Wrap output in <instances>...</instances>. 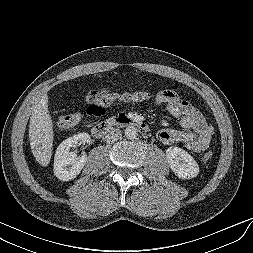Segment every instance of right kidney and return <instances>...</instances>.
Segmentation results:
<instances>
[{
  "label": "right kidney",
  "mask_w": 253,
  "mask_h": 253,
  "mask_svg": "<svg viewBox=\"0 0 253 253\" xmlns=\"http://www.w3.org/2000/svg\"><path fill=\"white\" fill-rule=\"evenodd\" d=\"M81 142L90 143V135L87 133L76 134L58 146L54 157V174L61 181L76 178L84 168L88 160L87 156L78 157L74 152H69L71 147H75Z\"/></svg>",
  "instance_id": "1"
}]
</instances>
